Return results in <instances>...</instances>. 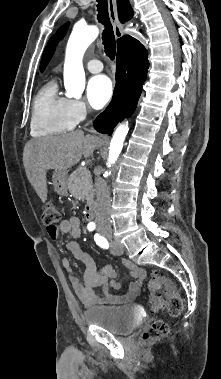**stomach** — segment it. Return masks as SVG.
I'll list each match as a JSON object with an SVG mask.
<instances>
[{"label": "stomach", "mask_w": 221, "mask_h": 379, "mask_svg": "<svg viewBox=\"0 0 221 379\" xmlns=\"http://www.w3.org/2000/svg\"><path fill=\"white\" fill-rule=\"evenodd\" d=\"M55 191L60 195L67 194V171L55 170L52 177Z\"/></svg>", "instance_id": "0dacf381"}]
</instances>
